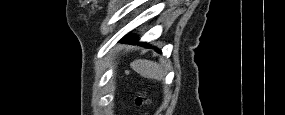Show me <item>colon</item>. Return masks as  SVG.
Wrapping results in <instances>:
<instances>
[{
	"label": "colon",
	"mask_w": 285,
	"mask_h": 115,
	"mask_svg": "<svg viewBox=\"0 0 285 115\" xmlns=\"http://www.w3.org/2000/svg\"><path fill=\"white\" fill-rule=\"evenodd\" d=\"M149 103V99L147 97V94L145 92L141 93L137 99H136V104L139 107H143Z\"/></svg>",
	"instance_id": "1"
}]
</instances>
